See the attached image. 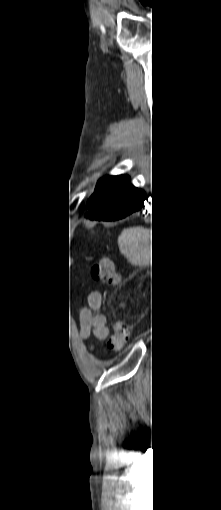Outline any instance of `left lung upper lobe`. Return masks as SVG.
Here are the masks:
<instances>
[{
    "instance_id": "left-lung-upper-lobe-1",
    "label": "left lung upper lobe",
    "mask_w": 221,
    "mask_h": 510,
    "mask_svg": "<svg viewBox=\"0 0 221 510\" xmlns=\"http://www.w3.org/2000/svg\"><path fill=\"white\" fill-rule=\"evenodd\" d=\"M130 184L126 175L106 176L98 181L94 194L88 202L90 211L99 209L112 201L122 190Z\"/></svg>"
}]
</instances>
